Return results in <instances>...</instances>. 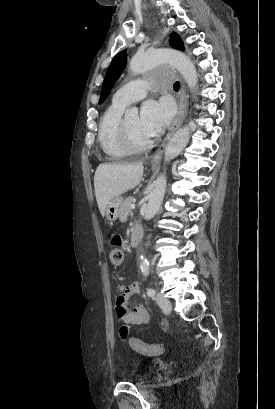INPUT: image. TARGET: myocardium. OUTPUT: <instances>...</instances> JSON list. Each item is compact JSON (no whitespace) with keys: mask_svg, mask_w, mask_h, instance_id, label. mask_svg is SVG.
Listing matches in <instances>:
<instances>
[{"mask_svg":"<svg viewBox=\"0 0 275 409\" xmlns=\"http://www.w3.org/2000/svg\"><path fill=\"white\" fill-rule=\"evenodd\" d=\"M120 132H121L122 143L125 149L129 153H135V154L146 153L154 145V140H151L144 145H138L137 143H135V141L133 140L131 136L126 120L121 121Z\"/></svg>","mask_w":275,"mask_h":409,"instance_id":"obj_1","label":"myocardium"}]
</instances>
